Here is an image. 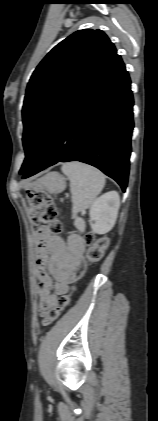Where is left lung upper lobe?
I'll return each instance as SVG.
<instances>
[{
    "instance_id": "5c2ea615",
    "label": "left lung upper lobe",
    "mask_w": 158,
    "mask_h": 421,
    "mask_svg": "<svg viewBox=\"0 0 158 421\" xmlns=\"http://www.w3.org/2000/svg\"><path fill=\"white\" fill-rule=\"evenodd\" d=\"M101 30H78L55 46L33 72L22 110L24 174L37 158L59 116L116 54Z\"/></svg>"
}]
</instances>
